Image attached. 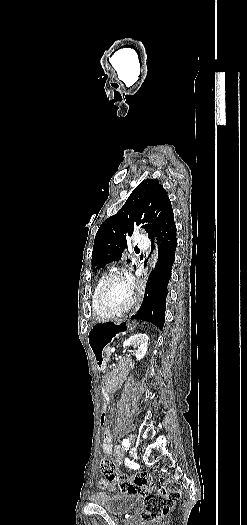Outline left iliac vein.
Masks as SVG:
<instances>
[{
	"label": "left iliac vein",
	"mask_w": 247,
	"mask_h": 525,
	"mask_svg": "<svg viewBox=\"0 0 247 525\" xmlns=\"http://www.w3.org/2000/svg\"><path fill=\"white\" fill-rule=\"evenodd\" d=\"M136 455H137V451H136V449H135L134 447H132V448L130 449V456H131V457H135Z\"/></svg>",
	"instance_id": "1"
}]
</instances>
